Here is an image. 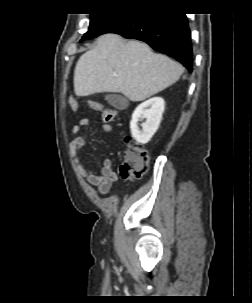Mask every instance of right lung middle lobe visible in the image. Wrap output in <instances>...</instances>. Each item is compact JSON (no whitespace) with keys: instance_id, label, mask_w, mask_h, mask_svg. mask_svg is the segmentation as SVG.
Instances as JSON below:
<instances>
[{"instance_id":"1","label":"right lung middle lobe","mask_w":252,"mask_h":303,"mask_svg":"<svg viewBox=\"0 0 252 303\" xmlns=\"http://www.w3.org/2000/svg\"><path fill=\"white\" fill-rule=\"evenodd\" d=\"M121 14H123V12L91 14L89 29L84 34L80 42L101 35L103 31L110 24H112Z\"/></svg>"}]
</instances>
